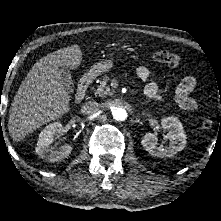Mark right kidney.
I'll return each instance as SVG.
<instances>
[{
	"mask_svg": "<svg viewBox=\"0 0 221 221\" xmlns=\"http://www.w3.org/2000/svg\"><path fill=\"white\" fill-rule=\"evenodd\" d=\"M61 132L62 124L60 122H54L41 131L36 146V153L40 158L50 162H57L70 155L73 150L71 145H64L59 148L51 146L54 141V135H58Z\"/></svg>",
	"mask_w": 221,
	"mask_h": 221,
	"instance_id": "obj_1",
	"label": "right kidney"
}]
</instances>
